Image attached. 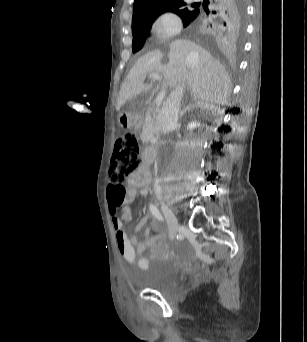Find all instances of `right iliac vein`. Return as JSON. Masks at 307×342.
Here are the masks:
<instances>
[{
	"label": "right iliac vein",
	"mask_w": 307,
	"mask_h": 342,
	"mask_svg": "<svg viewBox=\"0 0 307 342\" xmlns=\"http://www.w3.org/2000/svg\"><path fill=\"white\" fill-rule=\"evenodd\" d=\"M161 209L167 219L169 237L174 238L177 234L178 229L180 228V224L174 215L173 211L169 208V206L162 200H160Z\"/></svg>",
	"instance_id": "1"
}]
</instances>
